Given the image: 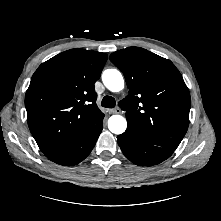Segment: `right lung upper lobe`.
Instances as JSON below:
<instances>
[{
    "label": "right lung upper lobe",
    "mask_w": 221,
    "mask_h": 221,
    "mask_svg": "<svg viewBox=\"0 0 221 221\" xmlns=\"http://www.w3.org/2000/svg\"><path fill=\"white\" fill-rule=\"evenodd\" d=\"M108 56L71 49L41 64L25 95L29 129L42 152L69 144L103 113L95 82Z\"/></svg>",
    "instance_id": "right-lung-upper-lobe-1"
}]
</instances>
